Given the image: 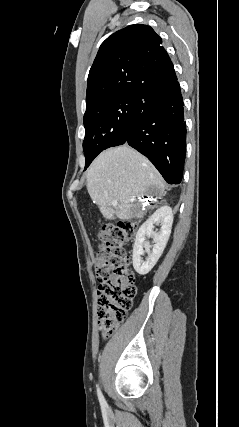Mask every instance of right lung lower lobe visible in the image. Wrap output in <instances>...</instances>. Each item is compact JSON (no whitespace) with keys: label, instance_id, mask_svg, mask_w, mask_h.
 <instances>
[{"label":"right lung lower lobe","instance_id":"right-lung-lower-lobe-1","mask_svg":"<svg viewBox=\"0 0 239 427\" xmlns=\"http://www.w3.org/2000/svg\"><path fill=\"white\" fill-rule=\"evenodd\" d=\"M124 143L145 155L166 182H181L186 123L177 78L156 85L139 96Z\"/></svg>","mask_w":239,"mask_h":427}]
</instances>
